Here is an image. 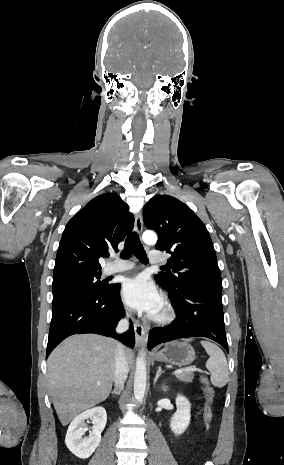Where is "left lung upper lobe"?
Returning <instances> with one entry per match:
<instances>
[{"instance_id": "left-lung-upper-lobe-1", "label": "left lung upper lobe", "mask_w": 284, "mask_h": 465, "mask_svg": "<svg viewBox=\"0 0 284 465\" xmlns=\"http://www.w3.org/2000/svg\"><path fill=\"white\" fill-rule=\"evenodd\" d=\"M144 223L157 232V250L171 253L168 266L176 274L154 276L172 294L185 287L222 292V280L209 232L184 203L169 195L151 198L143 208Z\"/></svg>"}]
</instances>
